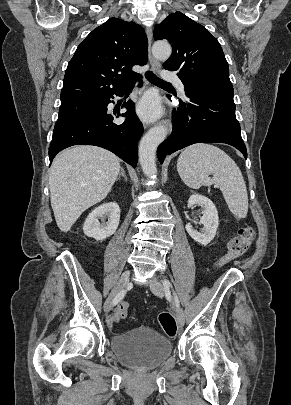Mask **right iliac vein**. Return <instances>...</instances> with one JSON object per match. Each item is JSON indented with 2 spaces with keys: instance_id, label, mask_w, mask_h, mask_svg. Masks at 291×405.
Returning <instances> with one entry per match:
<instances>
[{
  "instance_id": "obj_1",
  "label": "right iliac vein",
  "mask_w": 291,
  "mask_h": 405,
  "mask_svg": "<svg viewBox=\"0 0 291 405\" xmlns=\"http://www.w3.org/2000/svg\"><path fill=\"white\" fill-rule=\"evenodd\" d=\"M129 277H130V271H126L122 274L120 279L118 280L116 286L113 288L111 293L109 294L108 298L105 301L104 304V311L107 313L109 312L112 307H113V301L115 297L123 291V289L126 287V285L129 282Z\"/></svg>"
}]
</instances>
